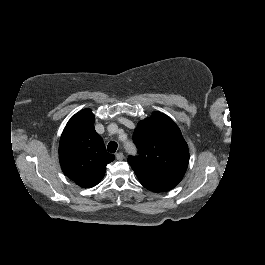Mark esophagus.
<instances>
[{"label": "esophagus", "instance_id": "esophagus-1", "mask_svg": "<svg viewBox=\"0 0 265 265\" xmlns=\"http://www.w3.org/2000/svg\"><path fill=\"white\" fill-rule=\"evenodd\" d=\"M116 159L119 160V161L123 160L124 159V154L122 152H118L116 154Z\"/></svg>", "mask_w": 265, "mask_h": 265}]
</instances>
